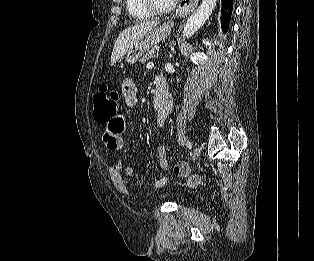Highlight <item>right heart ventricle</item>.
<instances>
[{
  "label": "right heart ventricle",
  "mask_w": 314,
  "mask_h": 261,
  "mask_svg": "<svg viewBox=\"0 0 314 261\" xmlns=\"http://www.w3.org/2000/svg\"><path fill=\"white\" fill-rule=\"evenodd\" d=\"M126 9L129 16L136 20L148 19L152 13L147 10L141 0H125Z\"/></svg>",
  "instance_id": "e07e8e85"
}]
</instances>
